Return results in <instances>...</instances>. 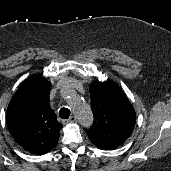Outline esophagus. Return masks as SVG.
<instances>
[{
	"label": "esophagus",
	"instance_id": "esophagus-1",
	"mask_svg": "<svg viewBox=\"0 0 171 171\" xmlns=\"http://www.w3.org/2000/svg\"><path fill=\"white\" fill-rule=\"evenodd\" d=\"M77 120V118L75 116H71L69 119L64 120L63 124H68V123H73Z\"/></svg>",
	"mask_w": 171,
	"mask_h": 171
}]
</instances>
